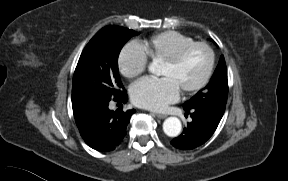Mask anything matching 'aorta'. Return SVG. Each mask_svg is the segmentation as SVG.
Segmentation results:
<instances>
[{
	"label": "aorta",
	"instance_id": "aorta-1",
	"mask_svg": "<svg viewBox=\"0 0 288 181\" xmlns=\"http://www.w3.org/2000/svg\"><path fill=\"white\" fill-rule=\"evenodd\" d=\"M150 71L154 70V64L149 67ZM182 129L181 121L177 117H168L163 123V131L169 137H176Z\"/></svg>",
	"mask_w": 288,
	"mask_h": 181
}]
</instances>
